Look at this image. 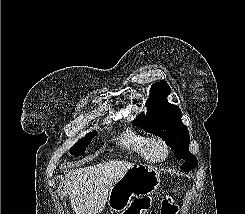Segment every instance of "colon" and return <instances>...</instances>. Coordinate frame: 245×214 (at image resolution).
<instances>
[{
    "label": "colon",
    "instance_id": "obj_1",
    "mask_svg": "<svg viewBox=\"0 0 245 214\" xmlns=\"http://www.w3.org/2000/svg\"><path fill=\"white\" fill-rule=\"evenodd\" d=\"M178 206L176 205L172 196L166 197L161 206V214H176ZM122 214H156L150 211L149 199H137L134 200L129 208Z\"/></svg>",
    "mask_w": 245,
    "mask_h": 214
}]
</instances>
